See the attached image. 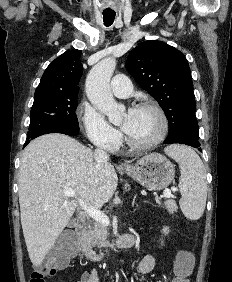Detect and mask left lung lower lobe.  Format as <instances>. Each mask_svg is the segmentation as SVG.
<instances>
[{
    "label": "left lung lower lobe",
    "mask_w": 232,
    "mask_h": 282,
    "mask_svg": "<svg viewBox=\"0 0 232 282\" xmlns=\"http://www.w3.org/2000/svg\"><path fill=\"white\" fill-rule=\"evenodd\" d=\"M198 140H199V135L186 134L184 132L175 129L174 127H171L169 131V135L165 140V144L180 143L198 148L200 146ZM198 150L201 151V148H199Z\"/></svg>",
    "instance_id": "1"
}]
</instances>
